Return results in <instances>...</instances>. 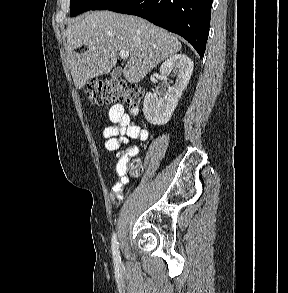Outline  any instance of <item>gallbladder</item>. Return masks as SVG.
Segmentation results:
<instances>
[{
  "instance_id": "obj_1",
  "label": "gallbladder",
  "mask_w": 288,
  "mask_h": 293,
  "mask_svg": "<svg viewBox=\"0 0 288 293\" xmlns=\"http://www.w3.org/2000/svg\"><path fill=\"white\" fill-rule=\"evenodd\" d=\"M122 71H123L122 67H115L113 71L111 72L112 79H118L121 76Z\"/></svg>"
}]
</instances>
